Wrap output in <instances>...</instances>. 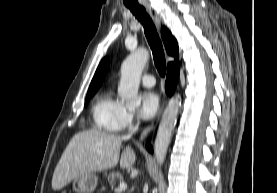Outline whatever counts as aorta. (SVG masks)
Returning <instances> with one entry per match:
<instances>
[{
  "label": "aorta",
  "mask_w": 277,
  "mask_h": 193,
  "mask_svg": "<svg viewBox=\"0 0 277 193\" xmlns=\"http://www.w3.org/2000/svg\"><path fill=\"white\" fill-rule=\"evenodd\" d=\"M148 59L149 52L146 49H138L131 53L122 63L118 95L128 107H137L140 104L138 88L142 71ZM180 107L181 97L178 95L169 101L163 113L154 144V154L160 166L166 157Z\"/></svg>",
  "instance_id": "1"
}]
</instances>
